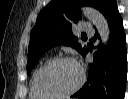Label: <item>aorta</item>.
<instances>
[{
  "label": "aorta",
  "mask_w": 128,
  "mask_h": 99,
  "mask_svg": "<svg viewBox=\"0 0 128 99\" xmlns=\"http://www.w3.org/2000/svg\"><path fill=\"white\" fill-rule=\"evenodd\" d=\"M83 14L95 25L101 37L102 43L107 45L110 37V28L106 18L98 10L91 7H84Z\"/></svg>",
  "instance_id": "762f6f07"
}]
</instances>
